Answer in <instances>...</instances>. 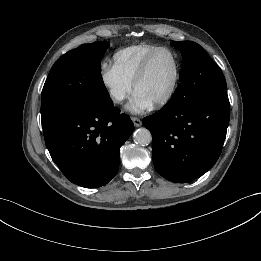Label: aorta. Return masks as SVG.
I'll return each instance as SVG.
<instances>
[{
	"label": "aorta",
	"mask_w": 261,
	"mask_h": 261,
	"mask_svg": "<svg viewBox=\"0 0 261 261\" xmlns=\"http://www.w3.org/2000/svg\"><path fill=\"white\" fill-rule=\"evenodd\" d=\"M134 141L136 144L145 146L151 143L152 135L151 132L146 128H139L134 132Z\"/></svg>",
	"instance_id": "762f6f07"
}]
</instances>
